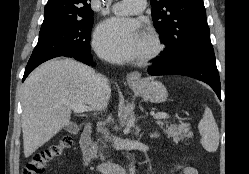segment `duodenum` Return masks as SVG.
Instances as JSON below:
<instances>
[{
	"label": "duodenum",
	"instance_id": "1",
	"mask_svg": "<svg viewBox=\"0 0 249 174\" xmlns=\"http://www.w3.org/2000/svg\"><path fill=\"white\" fill-rule=\"evenodd\" d=\"M92 132H93L92 124L87 123L83 128L81 138H80L82 162L85 166L89 165L93 157ZM94 170L98 174H127L126 166L116 164V163L99 164L94 167Z\"/></svg>",
	"mask_w": 249,
	"mask_h": 174
}]
</instances>
